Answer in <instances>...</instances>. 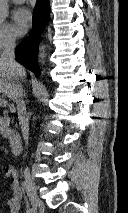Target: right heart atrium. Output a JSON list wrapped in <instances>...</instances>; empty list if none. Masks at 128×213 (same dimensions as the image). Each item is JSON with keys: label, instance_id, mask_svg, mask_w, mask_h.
Masks as SVG:
<instances>
[{"label": "right heart atrium", "instance_id": "d8ad5b80", "mask_svg": "<svg viewBox=\"0 0 128 213\" xmlns=\"http://www.w3.org/2000/svg\"><path fill=\"white\" fill-rule=\"evenodd\" d=\"M17 36L5 24H0V51L13 47L16 44Z\"/></svg>", "mask_w": 128, "mask_h": 213}]
</instances>
